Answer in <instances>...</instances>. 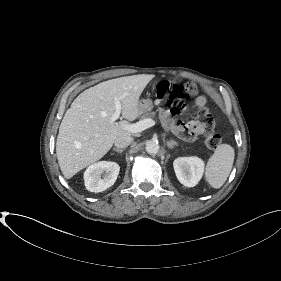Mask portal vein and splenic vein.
Returning a JSON list of instances; mask_svg holds the SVG:
<instances>
[{
  "label": "portal vein and splenic vein",
  "mask_w": 281,
  "mask_h": 281,
  "mask_svg": "<svg viewBox=\"0 0 281 281\" xmlns=\"http://www.w3.org/2000/svg\"><path fill=\"white\" fill-rule=\"evenodd\" d=\"M120 114H121V102H120V99H116L115 100V112L111 118L112 122H115L120 117ZM154 125H155L154 120H152L151 118H146V119L140 120L139 122L134 123V124H126L124 126V128L126 130H128L129 132L138 133V132H142L145 129L152 127Z\"/></svg>",
  "instance_id": "1"
}]
</instances>
